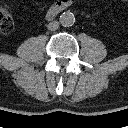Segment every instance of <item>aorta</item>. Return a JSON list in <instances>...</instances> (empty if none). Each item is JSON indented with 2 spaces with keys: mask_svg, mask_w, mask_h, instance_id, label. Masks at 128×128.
<instances>
[{
  "mask_svg": "<svg viewBox=\"0 0 128 128\" xmlns=\"http://www.w3.org/2000/svg\"><path fill=\"white\" fill-rule=\"evenodd\" d=\"M59 22L63 27H70L75 22V16L70 11L63 12L60 15Z\"/></svg>",
  "mask_w": 128,
  "mask_h": 128,
  "instance_id": "1",
  "label": "aorta"
}]
</instances>
